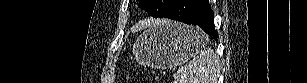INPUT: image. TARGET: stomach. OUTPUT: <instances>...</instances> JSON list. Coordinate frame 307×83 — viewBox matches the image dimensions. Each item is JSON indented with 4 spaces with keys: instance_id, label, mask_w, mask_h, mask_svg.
Returning <instances> with one entry per match:
<instances>
[{
    "instance_id": "stomach-1",
    "label": "stomach",
    "mask_w": 307,
    "mask_h": 83,
    "mask_svg": "<svg viewBox=\"0 0 307 83\" xmlns=\"http://www.w3.org/2000/svg\"><path fill=\"white\" fill-rule=\"evenodd\" d=\"M207 41V35L199 28L170 21L140 35L133 46V55L141 64L172 68L194 57Z\"/></svg>"
}]
</instances>
